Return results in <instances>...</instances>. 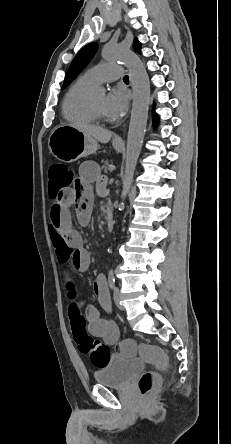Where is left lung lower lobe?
<instances>
[{
    "instance_id": "1",
    "label": "left lung lower lobe",
    "mask_w": 231,
    "mask_h": 444,
    "mask_svg": "<svg viewBox=\"0 0 231 444\" xmlns=\"http://www.w3.org/2000/svg\"><path fill=\"white\" fill-rule=\"evenodd\" d=\"M158 118L154 115V122H157Z\"/></svg>"
}]
</instances>
